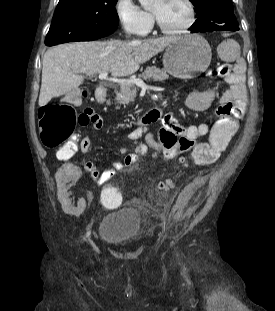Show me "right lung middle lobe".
<instances>
[{
	"label": "right lung middle lobe",
	"mask_w": 275,
	"mask_h": 311,
	"mask_svg": "<svg viewBox=\"0 0 275 311\" xmlns=\"http://www.w3.org/2000/svg\"><path fill=\"white\" fill-rule=\"evenodd\" d=\"M118 0H59L46 46L95 40L113 33L119 23Z\"/></svg>",
	"instance_id": "dd1d6c3e"
}]
</instances>
